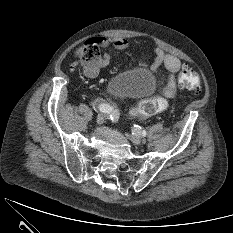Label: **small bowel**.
<instances>
[{
    "mask_svg": "<svg viewBox=\"0 0 233 233\" xmlns=\"http://www.w3.org/2000/svg\"><path fill=\"white\" fill-rule=\"evenodd\" d=\"M103 48L112 46L115 49H123L127 46V41L123 38H105L100 37L95 40ZM155 60L152 68H157L160 65H164L167 70V80L163 89V94L166 98L171 99L176 95L177 92V81L179 79L180 71L182 68L180 60L171 54H166L160 48H155ZM147 55L146 53L141 54L140 64L141 66L146 65ZM109 61L108 55H104L100 60L94 64L88 65L84 73L89 78L98 76L100 71L107 66Z\"/></svg>",
    "mask_w": 233,
    "mask_h": 233,
    "instance_id": "small-bowel-1",
    "label": "small bowel"
}]
</instances>
